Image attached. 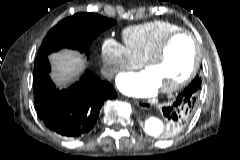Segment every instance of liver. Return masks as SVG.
Returning <instances> with one entry per match:
<instances>
[{
	"instance_id": "liver-1",
	"label": "liver",
	"mask_w": 240,
	"mask_h": 160,
	"mask_svg": "<svg viewBox=\"0 0 240 160\" xmlns=\"http://www.w3.org/2000/svg\"><path fill=\"white\" fill-rule=\"evenodd\" d=\"M49 60L53 66L51 75L60 87L73 83L84 67L82 56L78 52L67 49L49 55Z\"/></svg>"
}]
</instances>
